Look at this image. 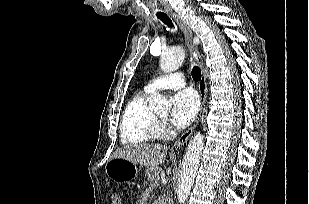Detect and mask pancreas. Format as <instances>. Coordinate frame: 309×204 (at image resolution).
Returning a JSON list of instances; mask_svg holds the SVG:
<instances>
[{
    "instance_id": "1",
    "label": "pancreas",
    "mask_w": 309,
    "mask_h": 204,
    "mask_svg": "<svg viewBox=\"0 0 309 204\" xmlns=\"http://www.w3.org/2000/svg\"><path fill=\"white\" fill-rule=\"evenodd\" d=\"M159 174L160 168L159 167H148L145 170V176L147 180L151 183L152 187H157L159 182Z\"/></svg>"
}]
</instances>
